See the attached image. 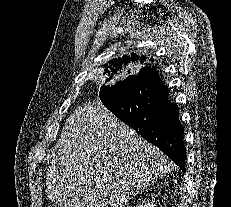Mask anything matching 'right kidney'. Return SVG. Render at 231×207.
<instances>
[{"label":"right kidney","mask_w":231,"mask_h":207,"mask_svg":"<svg viewBox=\"0 0 231 207\" xmlns=\"http://www.w3.org/2000/svg\"><path fill=\"white\" fill-rule=\"evenodd\" d=\"M138 207H155L154 202H144L142 204H139Z\"/></svg>","instance_id":"ca27d5eb"}]
</instances>
